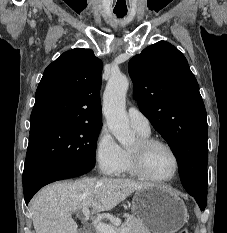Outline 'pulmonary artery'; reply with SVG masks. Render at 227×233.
I'll return each mask as SVG.
<instances>
[{"mask_svg": "<svg viewBox=\"0 0 227 233\" xmlns=\"http://www.w3.org/2000/svg\"><path fill=\"white\" fill-rule=\"evenodd\" d=\"M127 115L132 127L141 133H150V122L148 118L137 108L130 107Z\"/></svg>", "mask_w": 227, "mask_h": 233, "instance_id": "pulmonary-artery-1", "label": "pulmonary artery"}]
</instances>
